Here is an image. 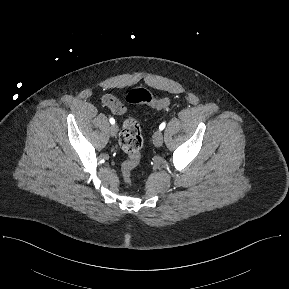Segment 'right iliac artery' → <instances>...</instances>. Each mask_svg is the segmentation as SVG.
Masks as SVG:
<instances>
[{
	"label": "right iliac artery",
	"instance_id": "82829eb1",
	"mask_svg": "<svg viewBox=\"0 0 289 289\" xmlns=\"http://www.w3.org/2000/svg\"><path fill=\"white\" fill-rule=\"evenodd\" d=\"M109 121H110L111 124H115L114 118L111 117V118L109 119Z\"/></svg>",
	"mask_w": 289,
	"mask_h": 289
}]
</instances>
